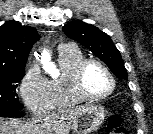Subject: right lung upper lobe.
I'll return each instance as SVG.
<instances>
[{"mask_svg":"<svg viewBox=\"0 0 153 134\" xmlns=\"http://www.w3.org/2000/svg\"><path fill=\"white\" fill-rule=\"evenodd\" d=\"M39 36L35 28L9 21L0 27V70L25 69L33 44Z\"/></svg>","mask_w":153,"mask_h":134,"instance_id":"right-lung-upper-lobe-1","label":"right lung upper lobe"}]
</instances>
